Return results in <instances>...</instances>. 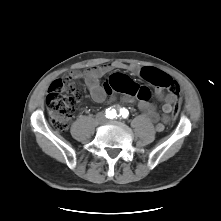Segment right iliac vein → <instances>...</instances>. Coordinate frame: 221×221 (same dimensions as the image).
Segmentation results:
<instances>
[{
    "label": "right iliac vein",
    "instance_id": "63e3f726",
    "mask_svg": "<svg viewBox=\"0 0 221 221\" xmlns=\"http://www.w3.org/2000/svg\"><path fill=\"white\" fill-rule=\"evenodd\" d=\"M105 118L102 114H100L97 118V120L100 122V121H103Z\"/></svg>",
    "mask_w": 221,
    "mask_h": 221
}]
</instances>
